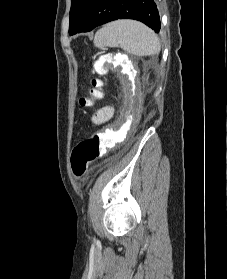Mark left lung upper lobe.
I'll return each mask as SVG.
<instances>
[{
  "instance_id": "left-lung-upper-lobe-1",
  "label": "left lung upper lobe",
  "mask_w": 227,
  "mask_h": 279,
  "mask_svg": "<svg viewBox=\"0 0 227 279\" xmlns=\"http://www.w3.org/2000/svg\"><path fill=\"white\" fill-rule=\"evenodd\" d=\"M93 0H72L70 9L69 34H75L82 26Z\"/></svg>"
}]
</instances>
